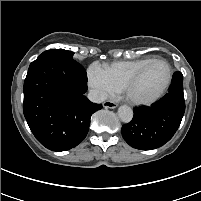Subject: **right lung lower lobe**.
Returning <instances> with one entry per match:
<instances>
[{"mask_svg":"<svg viewBox=\"0 0 201 201\" xmlns=\"http://www.w3.org/2000/svg\"><path fill=\"white\" fill-rule=\"evenodd\" d=\"M86 90V71L75 60L41 57L30 64L23 87V112L44 147L65 151L86 137L91 115L102 108L84 96Z\"/></svg>","mask_w":201,"mask_h":201,"instance_id":"right-lung-lower-lobe-1","label":"right lung lower lobe"}]
</instances>
